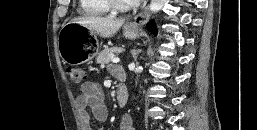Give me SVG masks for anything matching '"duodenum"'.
I'll return each instance as SVG.
<instances>
[{
    "label": "duodenum",
    "instance_id": "duodenum-1",
    "mask_svg": "<svg viewBox=\"0 0 257 130\" xmlns=\"http://www.w3.org/2000/svg\"><path fill=\"white\" fill-rule=\"evenodd\" d=\"M117 101L120 107H124L128 101V90L124 84H120L117 89Z\"/></svg>",
    "mask_w": 257,
    "mask_h": 130
}]
</instances>
